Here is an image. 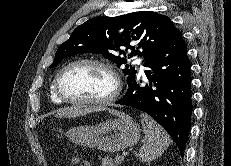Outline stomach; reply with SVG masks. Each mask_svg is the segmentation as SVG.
<instances>
[{"label":"stomach","instance_id":"obj_1","mask_svg":"<svg viewBox=\"0 0 231 166\" xmlns=\"http://www.w3.org/2000/svg\"><path fill=\"white\" fill-rule=\"evenodd\" d=\"M140 135L139 125L124 113L97 125H81L67 132V137L73 143L108 153L134 146Z\"/></svg>","mask_w":231,"mask_h":166}]
</instances>
